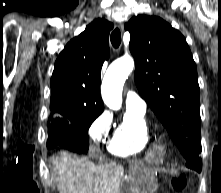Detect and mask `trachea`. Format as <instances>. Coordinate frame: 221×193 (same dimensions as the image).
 Segmentation results:
<instances>
[{
  "label": "trachea",
  "mask_w": 221,
  "mask_h": 193,
  "mask_svg": "<svg viewBox=\"0 0 221 193\" xmlns=\"http://www.w3.org/2000/svg\"><path fill=\"white\" fill-rule=\"evenodd\" d=\"M111 43L114 48H118L121 43V33L118 28L111 33Z\"/></svg>",
  "instance_id": "3493384b"
}]
</instances>
